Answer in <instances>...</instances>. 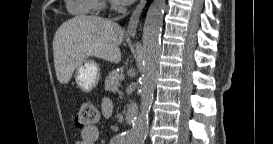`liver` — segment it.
I'll use <instances>...</instances> for the list:
<instances>
[{"label": "liver", "mask_w": 273, "mask_h": 144, "mask_svg": "<svg viewBox=\"0 0 273 144\" xmlns=\"http://www.w3.org/2000/svg\"><path fill=\"white\" fill-rule=\"evenodd\" d=\"M123 37V29L111 20L81 15L64 22L53 39L58 81L68 83L76 67L88 57L119 63Z\"/></svg>", "instance_id": "liver-1"}]
</instances>
